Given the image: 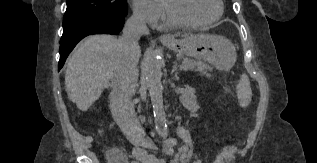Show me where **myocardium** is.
Returning a JSON list of instances; mask_svg holds the SVG:
<instances>
[{
	"label": "myocardium",
	"mask_w": 317,
	"mask_h": 163,
	"mask_svg": "<svg viewBox=\"0 0 317 163\" xmlns=\"http://www.w3.org/2000/svg\"><path fill=\"white\" fill-rule=\"evenodd\" d=\"M218 3V13L215 17L209 20H201V21H187L181 18L176 14V12L172 9V7L162 0L163 11L166 19L174 26L184 27V28H195L200 26H207L216 23L219 21L224 12V4L223 0H217Z\"/></svg>",
	"instance_id": "f54148a6"
}]
</instances>
